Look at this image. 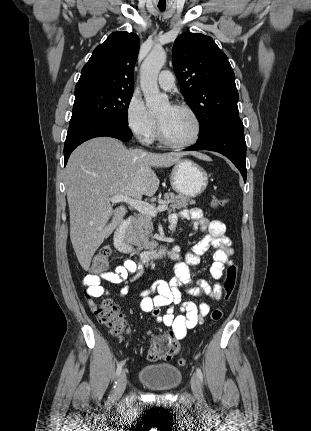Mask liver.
<instances>
[{"label":"liver","instance_id":"1","mask_svg":"<svg viewBox=\"0 0 311 431\" xmlns=\"http://www.w3.org/2000/svg\"><path fill=\"white\" fill-rule=\"evenodd\" d=\"M188 154L201 158L197 152L127 150L115 138H93L74 150L65 168V186L70 239L85 271L96 249L127 214L125 206L113 208L111 196L152 198L160 184L152 168H171Z\"/></svg>","mask_w":311,"mask_h":431}]
</instances>
